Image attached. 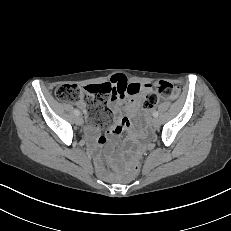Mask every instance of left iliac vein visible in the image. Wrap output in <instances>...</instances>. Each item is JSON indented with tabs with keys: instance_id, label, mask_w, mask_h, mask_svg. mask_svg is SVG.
<instances>
[{
	"instance_id": "obj_1",
	"label": "left iliac vein",
	"mask_w": 231,
	"mask_h": 231,
	"mask_svg": "<svg viewBox=\"0 0 231 231\" xmlns=\"http://www.w3.org/2000/svg\"><path fill=\"white\" fill-rule=\"evenodd\" d=\"M152 126H153L154 128H158V127L160 126V120H159L158 118H154V119L152 120Z\"/></svg>"
}]
</instances>
